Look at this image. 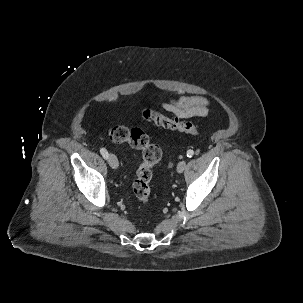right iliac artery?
I'll use <instances>...</instances> for the list:
<instances>
[{"label": "right iliac artery", "mask_w": 303, "mask_h": 303, "mask_svg": "<svg viewBox=\"0 0 303 303\" xmlns=\"http://www.w3.org/2000/svg\"><path fill=\"white\" fill-rule=\"evenodd\" d=\"M100 153H101V155L105 158V159H107L108 158V152H107V150L105 149V148H101L100 149Z\"/></svg>", "instance_id": "obj_1"}]
</instances>
